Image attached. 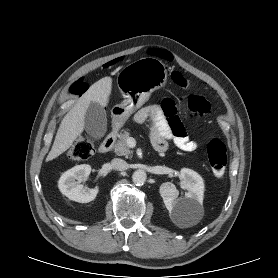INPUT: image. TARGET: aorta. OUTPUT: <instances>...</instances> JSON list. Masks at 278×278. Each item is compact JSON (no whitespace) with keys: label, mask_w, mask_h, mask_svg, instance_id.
Instances as JSON below:
<instances>
[{"label":"aorta","mask_w":278,"mask_h":278,"mask_svg":"<svg viewBox=\"0 0 278 278\" xmlns=\"http://www.w3.org/2000/svg\"><path fill=\"white\" fill-rule=\"evenodd\" d=\"M147 175L144 170H136L132 175V181L136 185H143L146 182Z\"/></svg>","instance_id":"aorta-1"}]
</instances>
